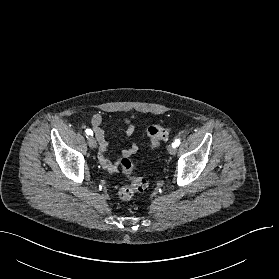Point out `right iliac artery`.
Listing matches in <instances>:
<instances>
[{
	"instance_id": "1",
	"label": "right iliac artery",
	"mask_w": 279,
	"mask_h": 279,
	"mask_svg": "<svg viewBox=\"0 0 279 279\" xmlns=\"http://www.w3.org/2000/svg\"><path fill=\"white\" fill-rule=\"evenodd\" d=\"M85 132H86V134H87V135H93V132H92V130H91V129H86V131H85Z\"/></svg>"
}]
</instances>
